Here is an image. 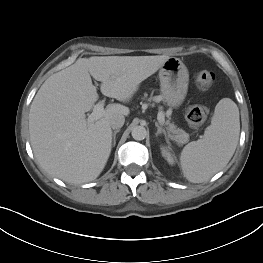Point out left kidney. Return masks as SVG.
I'll return each mask as SVG.
<instances>
[{
    "label": "left kidney",
    "mask_w": 263,
    "mask_h": 263,
    "mask_svg": "<svg viewBox=\"0 0 263 263\" xmlns=\"http://www.w3.org/2000/svg\"><path fill=\"white\" fill-rule=\"evenodd\" d=\"M162 156L170 163L173 164L174 163V159L173 156L171 154V152L169 151L168 148L163 147L162 150Z\"/></svg>",
    "instance_id": "1"
}]
</instances>
